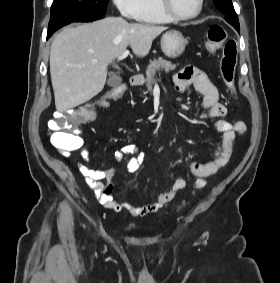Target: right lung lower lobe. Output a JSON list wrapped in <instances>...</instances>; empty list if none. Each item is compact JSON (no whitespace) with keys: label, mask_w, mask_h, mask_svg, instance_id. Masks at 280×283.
I'll use <instances>...</instances> for the list:
<instances>
[{"label":"right lung lower lobe","mask_w":280,"mask_h":283,"mask_svg":"<svg viewBox=\"0 0 280 283\" xmlns=\"http://www.w3.org/2000/svg\"><path fill=\"white\" fill-rule=\"evenodd\" d=\"M65 25H67V24L59 25V26H56V27H54V28H52V29H49L48 35H47V39H48L50 36H52V34H53L54 32H56L58 29H60L61 27L65 26Z\"/></svg>","instance_id":"right-lung-lower-lobe-1"}]
</instances>
